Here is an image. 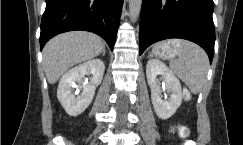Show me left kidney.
I'll list each match as a JSON object with an SVG mask.
<instances>
[{"mask_svg": "<svg viewBox=\"0 0 243 145\" xmlns=\"http://www.w3.org/2000/svg\"><path fill=\"white\" fill-rule=\"evenodd\" d=\"M157 75H161L167 89L170 92V99L162 100L160 97L161 88ZM147 81L151 89V99L157 116L166 120L170 118L179 108L182 102V88L180 81L174 73L161 61L151 59L146 65Z\"/></svg>", "mask_w": 243, "mask_h": 145, "instance_id": "1", "label": "left kidney"}]
</instances>
